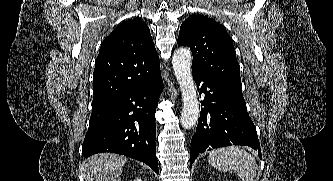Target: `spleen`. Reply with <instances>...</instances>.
I'll list each match as a JSON object with an SVG mask.
<instances>
[{
	"label": "spleen",
	"instance_id": "1",
	"mask_svg": "<svg viewBox=\"0 0 333 181\" xmlns=\"http://www.w3.org/2000/svg\"><path fill=\"white\" fill-rule=\"evenodd\" d=\"M208 162L224 172H235L242 181H255L258 165L255 158L238 146H228L209 153Z\"/></svg>",
	"mask_w": 333,
	"mask_h": 181
}]
</instances>
